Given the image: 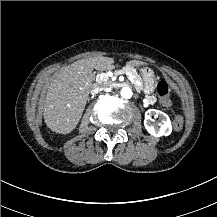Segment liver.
<instances>
[{
  "label": "liver",
  "mask_w": 217,
  "mask_h": 217,
  "mask_svg": "<svg viewBox=\"0 0 217 217\" xmlns=\"http://www.w3.org/2000/svg\"><path fill=\"white\" fill-rule=\"evenodd\" d=\"M114 59L92 57L81 59L61 68L50 84L43 105L46 126L57 134H70L82 118L89 90L93 82L92 71L114 69ZM126 67L140 68L148 63L139 60L125 62ZM78 101L75 104V101Z\"/></svg>",
  "instance_id": "1"
}]
</instances>
